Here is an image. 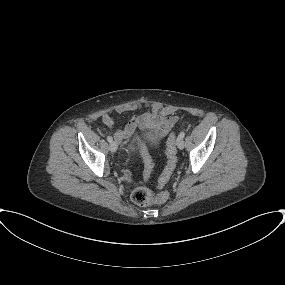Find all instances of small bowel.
I'll return each mask as SVG.
<instances>
[{
  "mask_svg": "<svg viewBox=\"0 0 285 285\" xmlns=\"http://www.w3.org/2000/svg\"><path fill=\"white\" fill-rule=\"evenodd\" d=\"M140 108H145L146 111L142 114L133 116L125 127L115 129L114 138L117 142L135 136L138 127L142 130L151 131L158 137H163L171 131L177 122V116L160 115L158 108L155 105L148 103L119 104L114 108V112L122 114ZM101 120L106 127H115V119L111 113H104Z\"/></svg>",
  "mask_w": 285,
  "mask_h": 285,
  "instance_id": "c3829d8e",
  "label": "small bowel"
}]
</instances>
